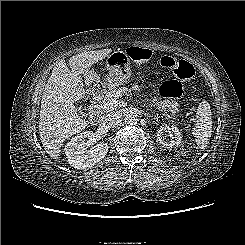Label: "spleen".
Masks as SVG:
<instances>
[{"label": "spleen", "mask_w": 245, "mask_h": 245, "mask_svg": "<svg viewBox=\"0 0 245 245\" xmlns=\"http://www.w3.org/2000/svg\"><path fill=\"white\" fill-rule=\"evenodd\" d=\"M197 123L193 128V136L199 149L207 147L212 134V112L207 101H202L197 109Z\"/></svg>", "instance_id": "1"}]
</instances>
